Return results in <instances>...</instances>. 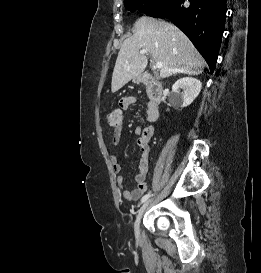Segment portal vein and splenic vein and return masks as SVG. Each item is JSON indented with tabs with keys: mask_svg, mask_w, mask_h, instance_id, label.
I'll list each match as a JSON object with an SVG mask.
<instances>
[{
	"mask_svg": "<svg viewBox=\"0 0 261 273\" xmlns=\"http://www.w3.org/2000/svg\"><path fill=\"white\" fill-rule=\"evenodd\" d=\"M148 52H150L148 49H142V50L140 51V54H146V53H148ZM152 57H153V59H155L154 56H152ZM155 67L158 68V69L162 68V63L156 61Z\"/></svg>",
	"mask_w": 261,
	"mask_h": 273,
	"instance_id": "portal-vein-and-splenic-vein-1",
	"label": "portal vein and splenic vein"
}]
</instances>
